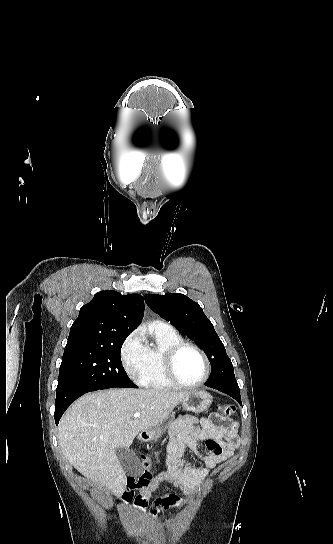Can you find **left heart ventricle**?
I'll use <instances>...</instances> for the list:
<instances>
[{
	"mask_svg": "<svg viewBox=\"0 0 333 544\" xmlns=\"http://www.w3.org/2000/svg\"><path fill=\"white\" fill-rule=\"evenodd\" d=\"M178 377L185 383H197L205 374V364L201 356L192 349L184 350L176 363Z\"/></svg>",
	"mask_w": 333,
	"mask_h": 544,
	"instance_id": "1",
	"label": "left heart ventricle"
}]
</instances>
